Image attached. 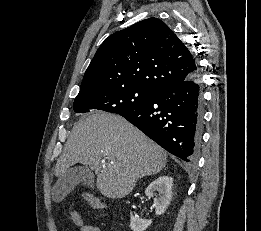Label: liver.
I'll return each mask as SVG.
<instances>
[{
	"label": "liver",
	"mask_w": 261,
	"mask_h": 231,
	"mask_svg": "<svg viewBox=\"0 0 261 231\" xmlns=\"http://www.w3.org/2000/svg\"><path fill=\"white\" fill-rule=\"evenodd\" d=\"M166 162V152L123 117L93 112L74 125L54 174L60 177L70 166L84 164L97 175L104 196L122 198L139 178L160 172Z\"/></svg>",
	"instance_id": "obj_1"
}]
</instances>
